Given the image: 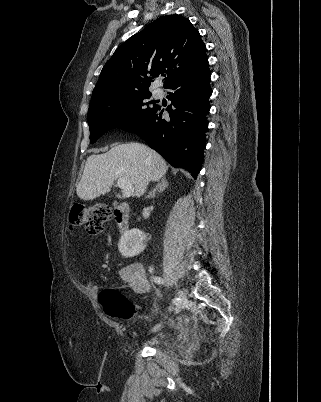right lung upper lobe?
Here are the masks:
<instances>
[{"mask_svg":"<svg viewBox=\"0 0 321 402\" xmlns=\"http://www.w3.org/2000/svg\"><path fill=\"white\" fill-rule=\"evenodd\" d=\"M206 65V46L191 22L179 15L163 16L116 49L100 73L89 107L148 91L160 74L166 87Z\"/></svg>","mask_w":321,"mask_h":402,"instance_id":"obj_1","label":"right lung upper lobe"}]
</instances>
